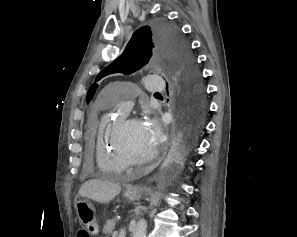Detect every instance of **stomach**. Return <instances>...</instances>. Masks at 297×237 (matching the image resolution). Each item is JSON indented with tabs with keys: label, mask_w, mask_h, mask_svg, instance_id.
<instances>
[{
	"label": "stomach",
	"mask_w": 297,
	"mask_h": 237,
	"mask_svg": "<svg viewBox=\"0 0 297 237\" xmlns=\"http://www.w3.org/2000/svg\"><path fill=\"white\" fill-rule=\"evenodd\" d=\"M144 194L141 188L129 187L124 196L129 201H139ZM77 217L80 225L86 229L90 235H96L99 226L96 221V212L93 205L88 200H79L75 205Z\"/></svg>",
	"instance_id": "1"
}]
</instances>
